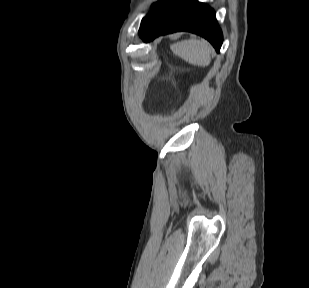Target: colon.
I'll return each mask as SVG.
<instances>
[{"mask_svg": "<svg viewBox=\"0 0 309 288\" xmlns=\"http://www.w3.org/2000/svg\"><path fill=\"white\" fill-rule=\"evenodd\" d=\"M144 89H145V87L143 86V87L141 88V92H143V91H144Z\"/></svg>", "mask_w": 309, "mask_h": 288, "instance_id": "obj_1", "label": "colon"}]
</instances>
